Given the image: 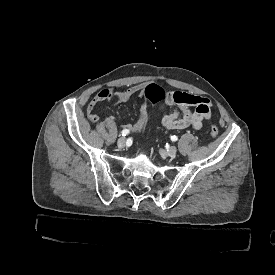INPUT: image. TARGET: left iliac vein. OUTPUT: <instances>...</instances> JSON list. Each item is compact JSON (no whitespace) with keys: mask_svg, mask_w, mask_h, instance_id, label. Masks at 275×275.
Here are the masks:
<instances>
[{"mask_svg":"<svg viewBox=\"0 0 275 275\" xmlns=\"http://www.w3.org/2000/svg\"><path fill=\"white\" fill-rule=\"evenodd\" d=\"M177 147L175 146H171L167 151L166 153L169 155V156H172L174 157L176 154H177Z\"/></svg>","mask_w":275,"mask_h":275,"instance_id":"obj_1","label":"left iliac vein"}]
</instances>
